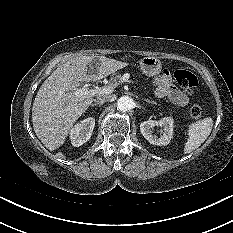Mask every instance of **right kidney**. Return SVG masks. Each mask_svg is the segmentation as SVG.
I'll return each mask as SVG.
<instances>
[{
	"mask_svg": "<svg viewBox=\"0 0 233 233\" xmlns=\"http://www.w3.org/2000/svg\"><path fill=\"white\" fill-rule=\"evenodd\" d=\"M95 119L92 117L86 118L75 124L70 131L71 144L74 147H79L86 143L93 132Z\"/></svg>",
	"mask_w": 233,
	"mask_h": 233,
	"instance_id": "1",
	"label": "right kidney"
}]
</instances>
